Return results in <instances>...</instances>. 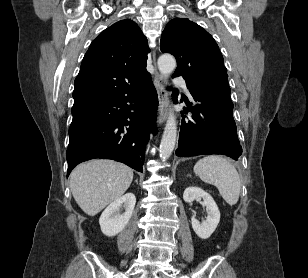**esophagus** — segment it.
<instances>
[{
  "instance_id": "obj_1",
  "label": "esophagus",
  "mask_w": 308,
  "mask_h": 278,
  "mask_svg": "<svg viewBox=\"0 0 308 278\" xmlns=\"http://www.w3.org/2000/svg\"><path fill=\"white\" fill-rule=\"evenodd\" d=\"M153 60L155 64V75H154V85L157 90L158 94V116H157V122L159 124H162L165 122L167 118V92L164 88L165 80L164 78L158 73L156 69V63H155V52H153Z\"/></svg>"
}]
</instances>
